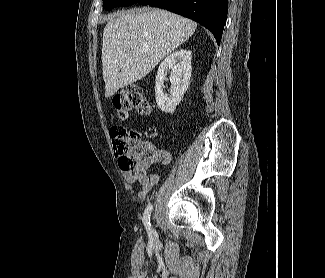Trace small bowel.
Wrapping results in <instances>:
<instances>
[{
  "label": "small bowel",
  "instance_id": "obj_1",
  "mask_svg": "<svg viewBox=\"0 0 325 278\" xmlns=\"http://www.w3.org/2000/svg\"><path fill=\"white\" fill-rule=\"evenodd\" d=\"M147 146L149 155L142 159L134 170H122V175L127 182L139 184L140 191L138 196L140 199H145L154 185L160 181V176L151 172V166L154 164L167 165L171 160L169 152L158 149L150 143H147Z\"/></svg>",
  "mask_w": 325,
  "mask_h": 278
}]
</instances>
